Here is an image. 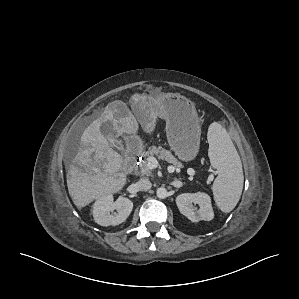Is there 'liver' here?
<instances>
[{
	"mask_svg": "<svg viewBox=\"0 0 299 299\" xmlns=\"http://www.w3.org/2000/svg\"><path fill=\"white\" fill-rule=\"evenodd\" d=\"M137 116L146 132L155 129L156 115L152 111ZM105 122L113 124L116 136L136 134L139 127L137 118L125 103L114 101L84 130L66 176L69 195L78 209L120 191L126 184V175L119 173L123 158L101 133L100 128Z\"/></svg>",
	"mask_w": 299,
	"mask_h": 299,
	"instance_id": "1",
	"label": "liver"
}]
</instances>
